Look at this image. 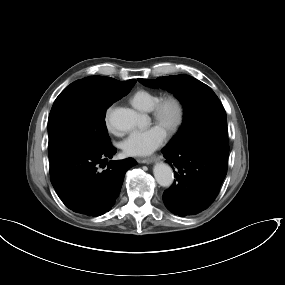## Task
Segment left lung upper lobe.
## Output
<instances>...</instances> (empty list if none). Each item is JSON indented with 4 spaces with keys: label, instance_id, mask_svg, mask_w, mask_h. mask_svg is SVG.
Segmentation results:
<instances>
[{
    "label": "left lung upper lobe",
    "instance_id": "5c2ea615",
    "mask_svg": "<svg viewBox=\"0 0 285 285\" xmlns=\"http://www.w3.org/2000/svg\"><path fill=\"white\" fill-rule=\"evenodd\" d=\"M138 81L173 92L184 106L183 124L166 149L178 150L205 141L228 144L226 113L209 86L188 75Z\"/></svg>",
    "mask_w": 285,
    "mask_h": 285
}]
</instances>
